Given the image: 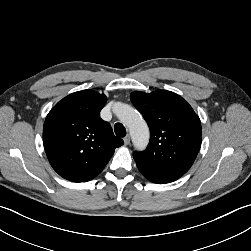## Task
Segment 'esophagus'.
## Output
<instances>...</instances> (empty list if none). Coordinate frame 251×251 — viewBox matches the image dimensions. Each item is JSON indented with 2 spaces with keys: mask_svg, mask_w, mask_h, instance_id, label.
Listing matches in <instances>:
<instances>
[{
  "mask_svg": "<svg viewBox=\"0 0 251 251\" xmlns=\"http://www.w3.org/2000/svg\"><path fill=\"white\" fill-rule=\"evenodd\" d=\"M124 143H125V145H129V143H130V136L129 135L124 137Z\"/></svg>",
  "mask_w": 251,
  "mask_h": 251,
  "instance_id": "1",
  "label": "esophagus"
}]
</instances>
